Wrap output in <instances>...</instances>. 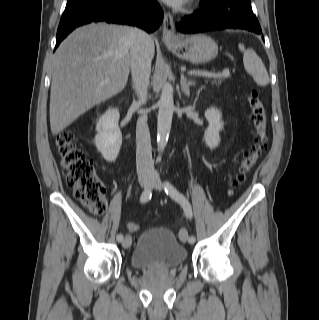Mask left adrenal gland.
I'll return each mask as SVG.
<instances>
[{
    "mask_svg": "<svg viewBox=\"0 0 319 320\" xmlns=\"http://www.w3.org/2000/svg\"><path fill=\"white\" fill-rule=\"evenodd\" d=\"M195 85L193 80H187V78L181 74V91L187 96H190V86Z\"/></svg>",
    "mask_w": 319,
    "mask_h": 320,
    "instance_id": "left-adrenal-gland-1",
    "label": "left adrenal gland"
}]
</instances>
